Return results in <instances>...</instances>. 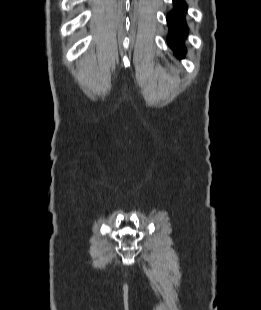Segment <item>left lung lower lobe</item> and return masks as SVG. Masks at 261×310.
I'll return each mask as SVG.
<instances>
[{"label": "left lung lower lobe", "mask_w": 261, "mask_h": 310, "mask_svg": "<svg viewBox=\"0 0 261 310\" xmlns=\"http://www.w3.org/2000/svg\"><path fill=\"white\" fill-rule=\"evenodd\" d=\"M175 10L167 16L170 33L168 36V44L174 49L178 57H183L186 48L183 45V39L187 34V26L184 19V13L187 10L184 0H173Z\"/></svg>", "instance_id": "1"}]
</instances>
